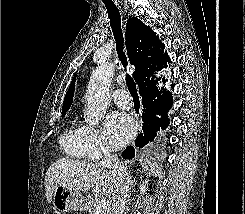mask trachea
<instances>
[{"label":"trachea","instance_id":"1","mask_svg":"<svg viewBox=\"0 0 245 214\" xmlns=\"http://www.w3.org/2000/svg\"><path fill=\"white\" fill-rule=\"evenodd\" d=\"M105 7H106L107 12H108V16H109L110 23H111V28H112L113 35H114V38L116 41V50H117L118 57H119L122 65L124 66V68H126L127 58H126V55L123 51V34H122V29H121V18H120L119 10L115 6V4H106L105 3ZM126 84H127V87H128V90H129L131 96L133 97V101L135 103H140L139 96L137 93L136 84L129 77L128 74L126 76Z\"/></svg>","mask_w":245,"mask_h":214}]
</instances>
